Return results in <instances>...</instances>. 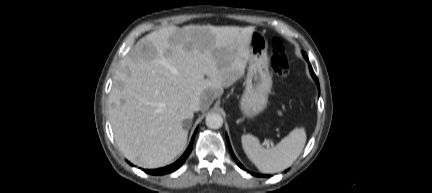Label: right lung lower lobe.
I'll list each match as a JSON object with an SVG mask.
<instances>
[{"mask_svg":"<svg viewBox=\"0 0 432 193\" xmlns=\"http://www.w3.org/2000/svg\"><path fill=\"white\" fill-rule=\"evenodd\" d=\"M197 131V129H196ZM196 131L191 139V142L187 148V150L185 151V153L180 157V159H178L174 164L169 165L167 167L164 168H160V169H154V170H147L144 169V172L148 173V174H153V175H161V174H166V173H170L175 171L176 169H178L186 160V158L188 157V155L190 154L192 147H193V141H194V137L196 134Z\"/></svg>","mask_w":432,"mask_h":193,"instance_id":"obj_1","label":"right lung lower lobe"}]
</instances>
